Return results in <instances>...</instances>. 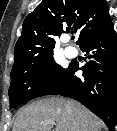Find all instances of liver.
I'll return each instance as SVG.
<instances>
[{"mask_svg":"<svg viewBox=\"0 0 117 131\" xmlns=\"http://www.w3.org/2000/svg\"><path fill=\"white\" fill-rule=\"evenodd\" d=\"M53 121L56 131H101L102 122L84 106L74 100L51 97L22 108L13 131H51Z\"/></svg>","mask_w":117,"mask_h":131,"instance_id":"liver-1","label":"liver"}]
</instances>
